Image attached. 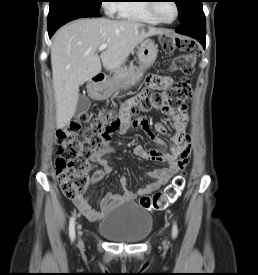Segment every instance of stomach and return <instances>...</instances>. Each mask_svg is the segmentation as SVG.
<instances>
[{"instance_id":"obj_1","label":"stomach","mask_w":258,"mask_h":275,"mask_svg":"<svg viewBox=\"0 0 258 275\" xmlns=\"http://www.w3.org/2000/svg\"><path fill=\"white\" fill-rule=\"evenodd\" d=\"M158 54V46L151 39H145L138 47L137 55L139 60V67L136 72L129 79L121 80L117 85L113 86L111 79L105 82L96 84L92 90L91 95L96 100H104L108 98L114 91L119 89L121 85H134L141 79L143 73L149 69L155 62Z\"/></svg>"}]
</instances>
